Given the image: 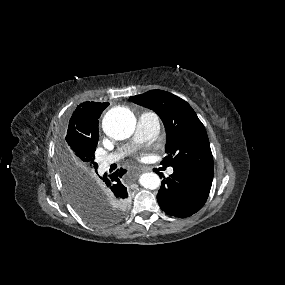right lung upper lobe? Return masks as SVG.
<instances>
[{"instance_id":"cb5924a9","label":"right lung upper lobe","mask_w":285,"mask_h":285,"mask_svg":"<svg viewBox=\"0 0 285 285\" xmlns=\"http://www.w3.org/2000/svg\"><path fill=\"white\" fill-rule=\"evenodd\" d=\"M109 103L83 102L73 112L65 136L71 153L96 147L99 130L98 119Z\"/></svg>"}]
</instances>
